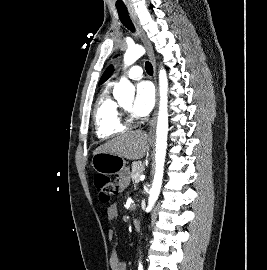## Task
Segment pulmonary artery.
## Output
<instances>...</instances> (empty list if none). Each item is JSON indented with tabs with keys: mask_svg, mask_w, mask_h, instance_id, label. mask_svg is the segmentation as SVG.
I'll return each mask as SVG.
<instances>
[{
	"mask_svg": "<svg viewBox=\"0 0 267 270\" xmlns=\"http://www.w3.org/2000/svg\"><path fill=\"white\" fill-rule=\"evenodd\" d=\"M142 74H143V70L140 66L138 65H135V66H132L127 72H126V75L133 79V80H138L142 77Z\"/></svg>",
	"mask_w": 267,
	"mask_h": 270,
	"instance_id": "pulmonary-artery-1",
	"label": "pulmonary artery"
}]
</instances>
